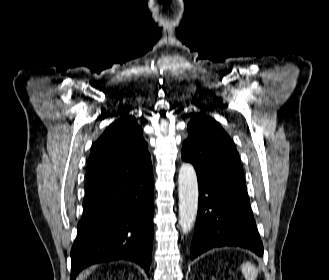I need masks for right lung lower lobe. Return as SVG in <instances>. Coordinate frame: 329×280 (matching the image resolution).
<instances>
[{"label": "right lung lower lobe", "mask_w": 329, "mask_h": 280, "mask_svg": "<svg viewBox=\"0 0 329 280\" xmlns=\"http://www.w3.org/2000/svg\"><path fill=\"white\" fill-rule=\"evenodd\" d=\"M153 172L117 174L89 183L71 249V276L92 264L125 259L146 274L153 243Z\"/></svg>", "instance_id": "1"}]
</instances>
